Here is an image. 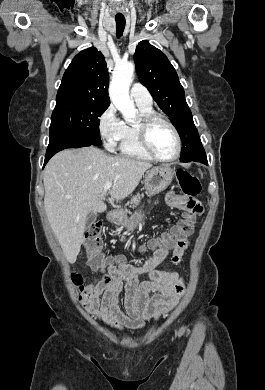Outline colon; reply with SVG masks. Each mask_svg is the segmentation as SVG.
Instances as JSON below:
<instances>
[{
	"label": "colon",
	"instance_id": "obj_1",
	"mask_svg": "<svg viewBox=\"0 0 265 390\" xmlns=\"http://www.w3.org/2000/svg\"><path fill=\"white\" fill-rule=\"evenodd\" d=\"M177 180L184 195L189 197L197 196L201 191V184L197 176L186 170L177 172ZM195 222L194 214H185L178 223L177 237H187L193 230ZM102 225L100 223L93 224L86 234L85 246L87 250L88 262L93 269H104L106 261L102 253ZM72 281L79 292V300L86 304L90 295L84 287V281L80 274H73Z\"/></svg>",
	"mask_w": 265,
	"mask_h": 390
}]
</instances>
